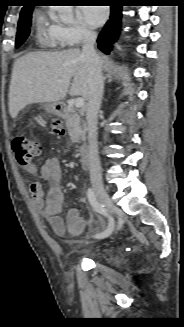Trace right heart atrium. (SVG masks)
<instances>
[{"label": "right heart atrium", "mask_w": 184, "mask_h": 327, "mask_svg": "<svg viewBox=\"0 0 184 327\" xmlns=\"http://www.w3.org/2000/svg\"><path fill=\"white\" fill-rule=\"evenodd\" d=\"M93 35V30L81 21H74L73 23L61 26L59 33L62 45L68 47L78 46Z\"/></svg>", "instance_id": "1"}]
</instances>
